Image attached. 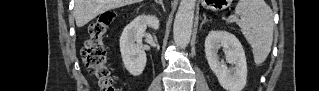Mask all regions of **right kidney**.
Returning a JSON list of instances; mask_svg holds the SVG:
<instances>
[{"mask_svg": "<svg viewBox=\"0 0 319 91\" xmlns=\"http://www.w3.org/2000/svg\"><path fill=\"white\" fill-rule=\"evenodd\" d=\"M147 26L157 30L159 20L153 15H140L130 22L120 37V52L125 68L133 76H139L146 66V53L142 50V38Z\"/></svg>", "mask_w": 319, "mask_h": 91, "instance_id": "1", "label": "right kidney"}]
</instances>
